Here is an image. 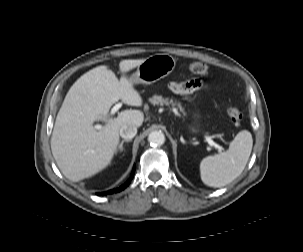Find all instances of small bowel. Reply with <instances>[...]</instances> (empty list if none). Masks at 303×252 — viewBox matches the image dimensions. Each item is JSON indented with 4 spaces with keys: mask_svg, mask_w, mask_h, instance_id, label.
Here are the masks:
<instances>
[{
    "mask_svg": "<svg viewBox=\"0 0 303 252\" xmlns=\"http://www.w3.org/2000/svg\"><path fill=\"white\" fill-rule=\"evenodd\" d=\"M202 83L200 80H188V81H172L168 85V89L176 95H190L200 89Z\"/></svg>",
    "mask_w": 303,
    "mask_h": 252,
    "instance_id": "c3829d8e",
    "label": "small bowel"
}]
</instances>
